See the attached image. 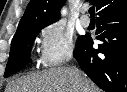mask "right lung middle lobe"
<instances>
[{"instance_id":"dd1d6c3e","label":"right lung middle lobe","mask_w":127,"mask_h":92,"mask_svg":"<svg viewBox=\"0 0 127 92\" xmlns=\"http://www.w3.org/2000/svg\"><path fill=\"white\" fill-rule=\"evenodd\" d=\"M44 27H46V25L33 26L12 39V45L4 77L10 76L19 68L31 62L30 51L33 41L39 31ZM83 37L84 36L78 37L76 46L81 42Z\"/></svg>"}]
</instances>
